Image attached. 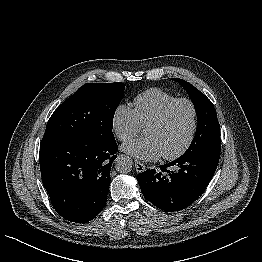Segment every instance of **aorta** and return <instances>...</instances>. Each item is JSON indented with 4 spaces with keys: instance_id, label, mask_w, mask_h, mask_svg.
<instances>
[{
    "instance_id": "762f6f07",
    "label": "aorta",
    "mask_w": 262,
    "mask_h": 262,
    "mask_svg": "<svg viewBox=\"0 0 262 262\" xmlns=\"http://www.w3.org/2000/svg\"><path fill=\"white\" fill-rule=\"evenodd\" d=\"M133 161L127 155H119L115 160V168L120 173H128L132 170Z\"/></svg>"
}]
</instances>
